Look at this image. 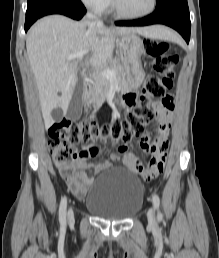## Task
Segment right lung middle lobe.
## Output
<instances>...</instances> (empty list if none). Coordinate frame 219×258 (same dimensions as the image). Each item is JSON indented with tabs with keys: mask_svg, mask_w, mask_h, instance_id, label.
Returning a JSON list of instances; mask_svg holds the SVG:
<instances>
[{
	"mask_svg": "<svg viewBox=\"0 0 219 258\" xmlns=\"http://www.w3.org/2000/svg\"><path fill=\"white\" fill-rule=\"evenodd\" d=\"M45 1H47V0H28L27 11L32 10L34 7L38 6L39 4H41Z\"/></svg>",
	"mask_w": 219,
	"mask_h": 258,
	"instance_id": "right-lung-middle-lobe-1",
	"label": "right lung middle lobe"
}]
</instances>
